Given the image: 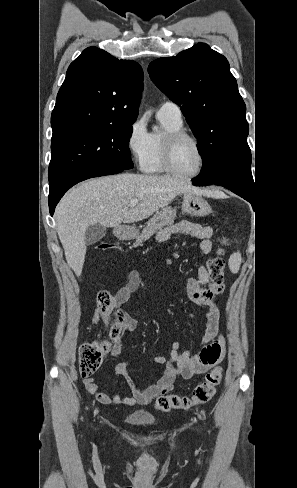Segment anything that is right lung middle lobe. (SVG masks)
<instances>
[{
	"label": "right lung middle lobe",
	"mask_w": 297,
	"mask_h": 488,
	"mask_svg": "<svg viewBox=\"0 0 297 488\" xmlns=\"http://www.w3.org/2000/svg\"><path fill=\"white\" fill-rule=\"evenodd\" d=\"M132 125L79 127L52 136L49 197L92 172L131 169Z\"/></svg>",
	"instance_id": "1"
}]
</instances>
